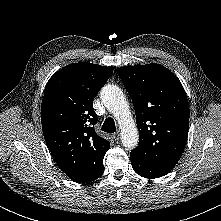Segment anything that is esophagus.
Instances as JSON below:
<instances>
[{
  "label": "esophagus",
  "instance_id": "esophagus-1",
  "mask_svg": "<svg viewBox=\"0 0 221 221\" xmlns=\"http://www.w3.org/2000/svg\"><path fill=\"white\" fill-rule=\"evenodd\" d=\"M112 136H113L115 141L120 139V134L118 132L114 133Z\"/></svg>",
  "mask_w": 221,
  "mask_h": 221
}]
</instances>
